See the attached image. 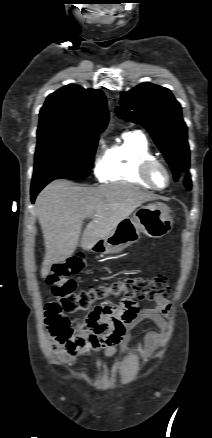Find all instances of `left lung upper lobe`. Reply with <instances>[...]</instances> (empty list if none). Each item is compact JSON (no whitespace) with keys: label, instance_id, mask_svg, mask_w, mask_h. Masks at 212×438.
Here are the masks:
<instances>
[{"label":"left lung upper lobe","instance_id":"left-lung-upper-lobe-1","mask_svg":"<svg viewBox=\"0 0 212 438\" xmlns=\"http://www.w3.org/2000/svg\"><path fill=\"white\" fill-rule=\"evenodd\" d=\"M117 115L145 127L170 165L174 179L189 169L190 150L187 126L182 119L181 106L167 88L142 83L121 93Z\"/></svg>","mask_w":212,"mask_h":438}]
</instances>
